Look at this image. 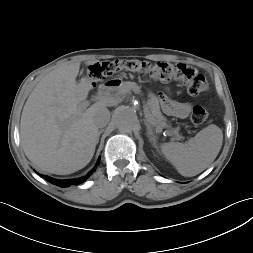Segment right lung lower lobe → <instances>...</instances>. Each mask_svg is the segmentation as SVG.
<instances>
[{
	"label": "right lung lower lobe",
	"mask_w": 253,
	"mask_h": 253,
	"mask_svg": "<svg viewBox=\"0 0 253 253\" xmlns=\"http://www.w3.org/2000/svg\"><path fill=\"white\" fill-rule=\"evenodd\" d=\"M94 171H95V169H93L86 176H82L80 178L72 179V180H59V179L50 178L48 176H43V175H40V176L45 178L46 180H48L49 182H51L54 185H57L60 187H68L70 185H78V184L83 183Z\"/></svg>",
	"instance_id": "98d812e1"
}]
</instances>
